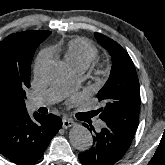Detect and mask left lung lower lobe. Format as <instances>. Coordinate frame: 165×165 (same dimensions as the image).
Segmentation results:
<instances>
[{
    "mask_svg": "<svg viewBox=\"0 0 165 165\" xmlns=\"http://www.w3.org/2000/svg\"><path fill=\"white\" fill-rule=\"evenodd\" d=\"M84 125L88 127L86 124ZM92 129L95 133L93 147L79 154V160L83 165L115 164L124 156L134 136V134L108 123L99 132ZM89 130L91 131L90 128Z\"/></svg>",
    "mask_w": 165,
    "mask_h": 165,
    "instance_id": "obj_1",
    "label": "left lung lower lobe"
}]
</instances>
